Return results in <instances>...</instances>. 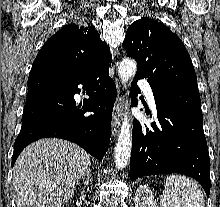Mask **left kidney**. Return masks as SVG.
<instances>
[{"mask_svg":"<svg viewBox=\"0 0 220 207\" xmlns=\"http://www.w3.org/2000/svg\"><path fill=\"white\" fill-rule=\"evenodd\" d=\"M134 200L135 207H158L152 190L146 185H141L137 189Z\"/></svg>","mask_w":220,"mask_h":207,"instance_id":"left-kidney-1","label":"left kidney"}]
</instances>
